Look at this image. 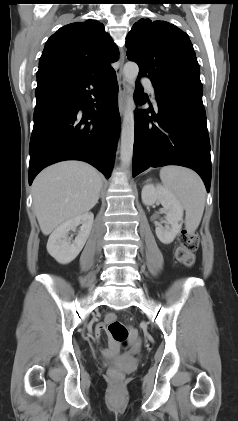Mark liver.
<instances>
[{
    "label": "liver",
    "instance_id": "obj_1",
    "mask_svg": "<svg viewBox=\"0 0 238 421\" xmlns=\"http://www.w3.org/2000/svg\"><path fill=\"white\" fill-rule=\"evenodd\" d=\"M102 177L91 165L66 161L45 168L35 178L32 196L44 235L60 224L93 208L99 199Z\"/></svg>",
    "mask_w": 238,
    "mask_h": 421
}]
</instances>
